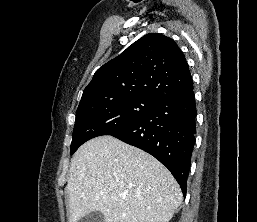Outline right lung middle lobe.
Masks as SVG:
<instances>
[{"label": "right lung middle lobe", "mask_w": 257, "mask_h": 222, "mask_svg": "<svg viewBox=\"0 0 257 222\" xmlns=\"http://www.w3.org/2000/svg\"><path fill=\"white\" fill-rule=\"evenodd\" d=\"M159 101L135 96L124 99L95 98L79 104L70 153L86 141L112 135L133 125L156 107Z\"/></svg>", "instance_id": "obj_1"}]
</instances>
